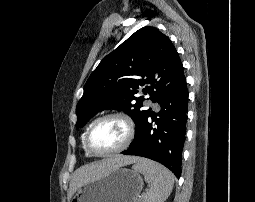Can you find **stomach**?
Masks as SVG:
<instances>
[{"mask_svg": "<svg viewBox=\"0 0 255 202\" xmlns=\"http://www.w3.org/2000/svg\"><path fill=\"white\" fill-rule=\"evenodd\" d=\"M143 185L138 172L119 167L80 186L70 202H137Z\"/></svg>", "mask_w": 255, "mask_h": 202, "instance_id": "stomach-1", "label": "stomach"}]
</instances>
